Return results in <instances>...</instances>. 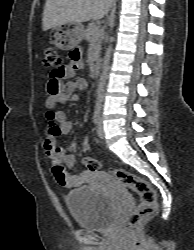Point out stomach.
<instances>
[{"instance_id": "0dacf381", "label": "stomach", "mask_w": 194, "mask_h": 250, "mask_svg": "<svg viewBox=\"0 0 194 250\" xmlns=\"http://www.w3.org/2000/svg\"><path fill=\"white\" fill-rule=\"evenodd\" d=\"M53 43L61 50H70L81 43L84 37V28L81 23H69L53 28Z\"/></svg>"}]
</instances>
